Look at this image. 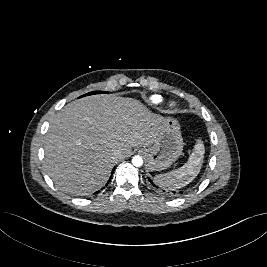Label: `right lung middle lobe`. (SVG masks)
I'll return each mask as SVG.
<instances>
[{
    "mask_svg": "<svg viewBox=\"0 0 267 267\" xmlns=\"http://www.w3.org/2000/svg\"><path fill=\"white\" fill-rule=\"evenodd\" d=\"M100 93H106L105 91H94V92H90V93H87L81 97H84V96H88V95H93V94H100Z\"/></svg>",
    "mask_w": 267,
    "mask_h": 267,
    "instance_id": "right-lung-middle-lobe-1",
    "label": "right lung middle lobe"
}]
</instances>
